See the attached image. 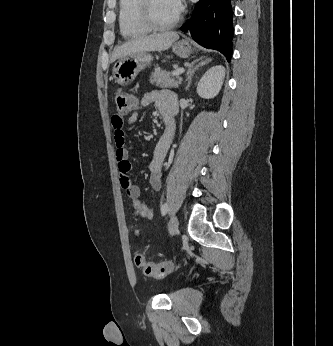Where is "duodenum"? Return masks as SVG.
Here are the masks:
<instances>
[{
	"label": "duodenum",
	"mask_w": 333,
	"mask_h": 346,
	"mask_svg": "<svg viewBox=\"0 0 333 346\" xmlns=\"http://www.w3.org/2000/svg\"><path fill=\"white\" fill-rule=\"evenodd\" d=\"M164 123H165L164 135H170L171 128H170V124H169L168 120L164 119Z\"/></svg>",
	"instance_id": "obj_1"
}]
</instances>
